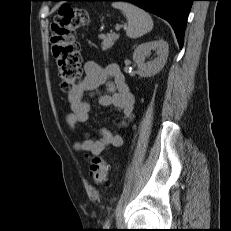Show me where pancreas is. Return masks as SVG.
Wrapping results in <instances>:
<instances>
[{
  "label": "pancreas",
  "mask_w": 231,
  "mask_h": 231,
  "mask_svg": "<svg viewBox=\"0 0 231 231\" xmlns=\"http://www.w3.org/2000/svg\"><path fill=\"white\" fill-rule=\"evenodd\" d=\"M100 38L102 39L101 47L103 50H107L113 46L115 41L119 38V35L116 33H110L107 35H101Z\"/></svg>",
  "instance_id": "pancreas-1"
}]
</instances>
